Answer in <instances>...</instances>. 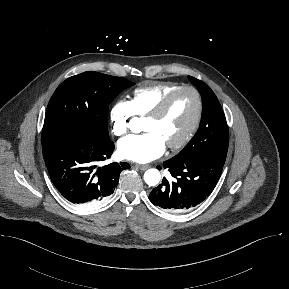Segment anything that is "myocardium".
I'll return each mask as SVG.
<instances>
[{"label":"myocardium","instance_id":"obj_1","mask_svg":"<svg viewBox=\"0 0 289 289\" xmlns=\"http://www.w3.org/2000/svg\"><path fill=\"white\" fill-rule=\"evenodd\" d=\"M182 91H190L194 94L197 102L196 114L190 128L185 133V135L178 141L167 145V148H169L170 150H178L184 147L196 134L203 115V99L200 92L193 86H180L168 93L161 100V102L146 116V119L152 120H157L161 118L169 108L173 98Z\"/></svg>","mask_w":289,"mask_h":289}]
</instances>
